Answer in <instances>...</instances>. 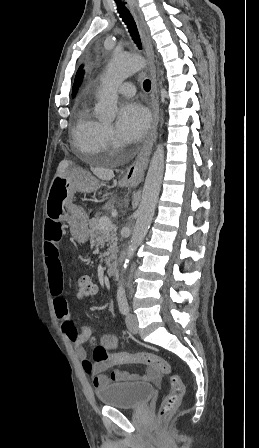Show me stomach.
<instances>
[{
	"instance_id": "0dacf381",
	"label": "stomach",
	"mask_w": 259,
	"mask_h": 448,
	"mask_svg": "<svg viewBox=\"0 0 259 448\" xmlns=\"http://www.w3.org/2000/svg\"><path fill=\"white\" fill-rule=\"evenodd\" d=\"M74 180L72 172L54 176L46 200L45 214L55 222L68 221L74 240L83 244L89 238L88 212H84L83 206H66L74 196Z\"/></svg>"
}]
</instances>
